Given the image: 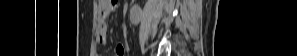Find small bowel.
I'll return each instance as SVG.
<instances>
[{
	"instance_id": "obj_1",
	"label": "small bowel",
	"mask_w": 297,
	"mask_h": 56,
	"mask_svg": "<svg viewBox=\"0 0 297 56\" xmlns=\"http://www.w3.org/2000/svg\"><path fill=\"white\" fill-rule=\"evenodd\" d=\"M100 11V20L98 26V41L105 45L107 43V24L106 17L115 9L117 5L116 0H100L98 2ZM116 55L122 56L124 54V46L118 45L116 47Z\"/></svg>"
}]
</instances>
